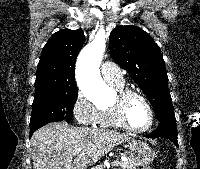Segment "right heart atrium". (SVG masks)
<instances>
[{"label": "right heart atrium", "instance_id": "1", "mask_svg": "<svg viewBox=\"0 0 200 169\" xmlns=\"http://www.w3.org/2000/svg\"><path fill=\"white\" fill-rule=\"evenodd\" d=\"M76 120L85 126L97 124L100 110L81 92L78 91L72 106Z\"/></svg>", "mask_w": 200, "mask_h": 169}]
</instances>
